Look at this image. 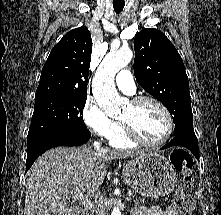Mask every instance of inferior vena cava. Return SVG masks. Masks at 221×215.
<instances>
[{
	"label": "inferior vena cava",
	"mask_w": 221,
	"mask_h": 215,
	"mask_svg": "<svg viewBox=\"0 0 221 215\" xmlns=\"http://www.w3.org/2000/svg\"><path fill=\"white\" fill-rule=\"evenodd\" d=\"M94 147L96 148V151L100 150L98 142H94ZM101 150L103 151V149H101ZM97 214L98 215H105V211L103 210V208L99 204H98V208H97Z\"/></svg>",
	"instance_id": "obj_1"
}]
</instances>
